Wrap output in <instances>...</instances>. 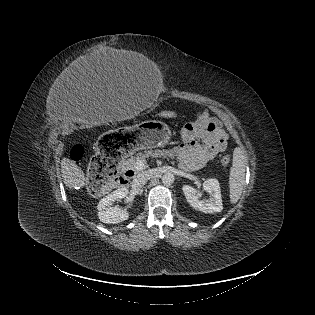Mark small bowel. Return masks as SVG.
<instances>
[{
	"mask_svg": "<svg viewBox=\"0 0 315 315\" xmlns=\"http://www.w3.org/2000/svg\"><path fill=\"white\" fill-rule=\"evenodd\" d=\"M227 146V137L217 118L203 111L181 130V143L172 151L184 170H197Z\"/></svg>",
	"mask_w": 315,
	"mask_h": 315,
	"instance_id": "small-bowel-1",
	"label": "small bowel"
}]
</instances>
